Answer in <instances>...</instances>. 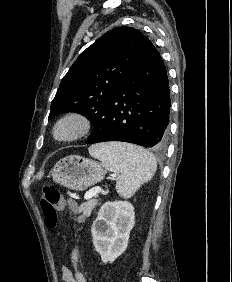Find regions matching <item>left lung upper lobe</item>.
<instances>
[{
    "label": "left lung upper lobe",
    "mask_w": 232,
    "mask_h": 282,
    "mask_svg": "<svg viewBox=\"0 0 232 282\" xmlns=\"http://www.w3.org/2000/svg\"><path fill=\"white\" fill-rule=\"evenodd\" d=\"M149 39L132 27H116L88 47L63 77L49 119L61 112L85 115L96 125L138 63Z\"/></svg>",
    "instance_id": "5c2ea615"
}]
</instances>
